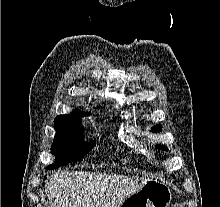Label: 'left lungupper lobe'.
I'll list each match as a JSON object with an SVG mask.
<instances>
[{
  "label": "left lung upper lobe",
  "instance_id": "1",
  "mask_svg": "<svg viewBox=\"0 0 220 207\" xmlns=\"http://www.w3.org/2000/svg\"><path fill=\"white\" fill-rule=\"evenodd\" d=\"M151 130H152L153 132H156V133H157V132L161 131V125H156V126L152 127ZM157 148H158V149H162V150H164V151H168V148L165 147V146H163V145H157Z\"/></svg>",
  "mask_w": 220,
  "mask_h": 207
}]
</instances>
